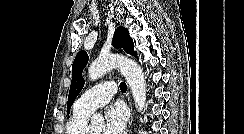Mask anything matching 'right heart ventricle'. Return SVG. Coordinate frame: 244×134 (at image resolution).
Wrapping results in <instances>:
<instances>
[{
    "label": "right heart ventricle",
    "mask_w": 244,
    "mask_h": 134,
    "mask_svg": "<svg viewBox=\"0 0 244 134\" xmlns=\"http://www.w3.org/2000/svg\"><path fill=\"white\" fill-rule=\"evenodd\" d=\"M89 113L77 111L74 109L72 116L69 118L65 134H86L87 133V120Z\"/></svg>",
    "instance_id": "obj_1"
}]
</instances>
